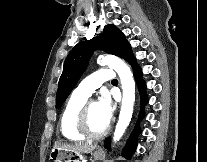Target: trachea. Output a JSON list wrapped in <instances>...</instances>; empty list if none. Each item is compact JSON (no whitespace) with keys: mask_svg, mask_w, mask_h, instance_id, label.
<instances>
[{"mask_svg":"<svg viewBox=\"0 0 207 162\" xmlns=\"http://www.w3.org/2000/svg\"><path fill=\"white\" fill-rule=\"evenodd\" d=\"M112 82H118L117 79H113Z\"/></svg>","mask_w":207,"mask_h":162,"instance_id":"3493384b","label":"trachea"}]
</instances>
